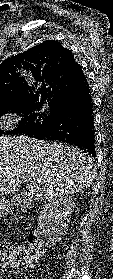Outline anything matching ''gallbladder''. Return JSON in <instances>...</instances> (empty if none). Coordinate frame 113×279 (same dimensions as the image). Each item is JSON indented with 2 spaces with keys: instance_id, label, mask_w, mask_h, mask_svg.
Masks as SVG:
<instances>
[{
  "instance_id": "obj_1",
  "label": "gallbladder",
  "mask_w": 113,
  "mask_h": 279,
  "mask_svg": "<svg viewBox=\"0 0 113 279\" xmlns=\"http://www.w3.org/2000/svg\"><path fill=\"white\" fill-rule=\"evenodd\" d=\"M25 197V194H22ZM0 207H1V201H0Z\"/></svg>"
}]
</instances>
